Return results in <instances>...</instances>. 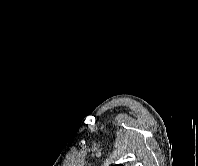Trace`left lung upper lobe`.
I'll use <instances>...</instances> for the list:
<instances>
[{"instance_id": "left-lung-upper-lobe-1", "label": "left lung upper lobe", "mask_w": 198, "mask_h": 166, "mask_svg": "<svg viewBox=\"0 0 198 166\" xmlns=\"http://www.w3.org/2000/svg\"><path fill=\"white\" fill-rule=\"evenodd\" d=\"M114 166H123L122 164L114 165Z\"/></svg>"}]
</instances>
